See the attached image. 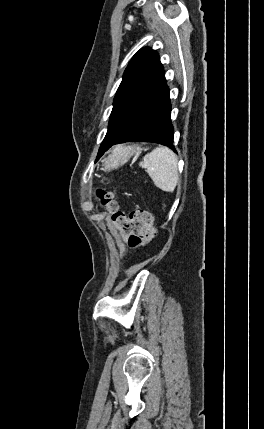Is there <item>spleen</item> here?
<instances>
[{
  "label": "spleen",
  "instance_id": "spleen-1",
  "mask_svg": "<svg viewBox=\"0 0 264 429\" xmlns=\"http://www.w3.org/2000/svg\"><path fill=\"white\" fill-rule=\"evenodd\" d=\"M153 180L155 186L165 192H173L177 186L178 161L175 153L160 146L143 157L139 163Z\"/></svg>",
  "mask_w": 264,
  "mask_h": 429
}]
</instances>
